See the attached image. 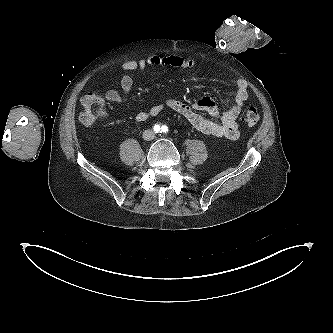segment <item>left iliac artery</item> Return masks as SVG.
<instances>
[{"label": "left iliac artery", "mask_w": 333, "mask_h": 333, "mask_svg": "<svg viewBox=\"0 0 333 333\" xmlns=\"http://www.w3.org/2000/svg\"><path fill=\"white\" fill-rule=\"evenodd\" d=\"M161 130H162V132L166 133V132H168V127L166 125H163Z\"/></svg>", "instance_id": "obj_1"}]
</instances>
